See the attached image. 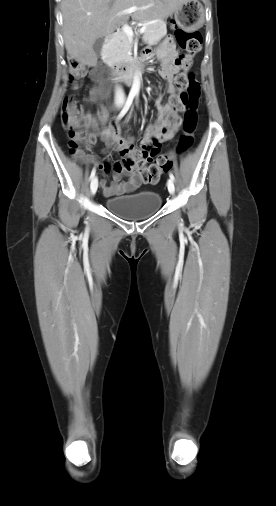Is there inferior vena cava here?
<instances>
[{
    "mask_svg": "<svg viewBox=\"0 0 276 506\" xmlns=\"http://www.w3.org/2000/svg\"><path fill=\"white\" fill-rule=\"evenodd\" d=\"M124 98H125V95H124V92L122 89L118 88L115 92V100L117 102H122L124 101Z\"/></svg>",
    "mask_w": 276,
    "mask_h": 506,
    "instance_id": "inferior-vena-cava-1",
    "label": "inferior vena cava"
}]
</instances>
